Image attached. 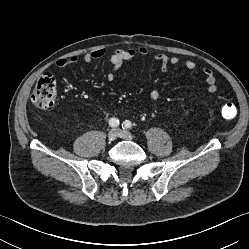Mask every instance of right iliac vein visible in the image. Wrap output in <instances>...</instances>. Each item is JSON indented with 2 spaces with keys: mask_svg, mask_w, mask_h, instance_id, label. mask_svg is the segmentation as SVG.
I'll list each match as a JSON object with an SVG mask.
<instances>
[{
  "mask_svg": "<svg viewBox=\"0 0 249 249\" xmlns=\"http://www.w3.org/2000/svg\"><path fill=\"white\" fill-rule=\"evenodd\" d=\"M118 136V130L117 129H111L108 133V139L110 141H114Z\"/></svg>",
  "mask_w": 249,
  "mask_h": 249,
  "instance_id": "63e3f726",
  "label": "right iliac vein"
}]
</instances>
